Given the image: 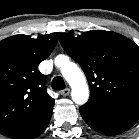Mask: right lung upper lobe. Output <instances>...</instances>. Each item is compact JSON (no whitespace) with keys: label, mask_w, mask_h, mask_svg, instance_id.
Returning <instances> with one entry per match:
<instances>
[{"label":"right lung upper lobe","mask_w":139,"mask_h":139,"mask_svg":"<svg viewBox=\"0 0 139 139\" xmlns=\"http://www.w3.org/2000/svg\"><path fill=\"white\" fill-rule=\"evenodd\" d=\"M56 34L14 35L0 41V133L7 135L54 106L38 65L53 51Z\"/></svg>","instance_id":"obj_1"}]
</instances>
